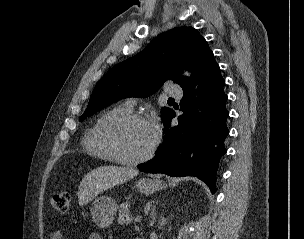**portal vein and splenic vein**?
Returning <instances> with one entry per match:
<instances>
[{"label":"portal vein and splenic vein","instance_id":"portal-vein-and-splenic-vein-1","mask_svg":"<svg viewBox=\"0 0 304 239\" xmlns=\"http://www.w3.org/2000/svg\"><path fill=\"white\" fill-rule=\"evenodd\" d=\"M141 219H142V217H141V216H137V217L135 218V222H140V221H141Z\"/></svg>","mask_w":304,"mask_h":239}]
</instances>
